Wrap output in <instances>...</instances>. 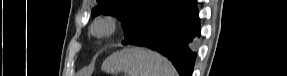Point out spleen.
<instances>
[{"instance_id": "spleen-1", "label": "spleen", "mask_w": 287, "mask_h": 76, "mask_svg": "<svg viewBox=\"0 0 287 76\" xmlns=\"http://www.w3.org/2000/svg\"><path fill=\"white\" fill-rule=\"evenodd\" d=\"M107 73L124 71L128 76H176L171 62L154 51L128 47L110 55L102 64Z\"/></svg>"}]
</instances>
